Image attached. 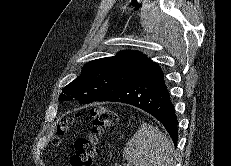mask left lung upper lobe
Here are the masks:
<instances>
[{"mask_svg":"<svg viewBox=\"0 0 231 166\" xmlns=\"http://www.w3.org/2000/svg\"><path fill=\"white\" fill-rule=\"evenodd\" d=\"M153 61L138 51L123 50L116 56L90 61L80 76L64 87L59 100L75 98L81 104L96 101L131 79Z\"/></svg>","mask_w":231,"mask_h":166,"instance_id":"left-lung-upper-lobe-1","label":"left lung upper lobe"}]
</instances>
